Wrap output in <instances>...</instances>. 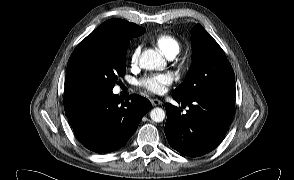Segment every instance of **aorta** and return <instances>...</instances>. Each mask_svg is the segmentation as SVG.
<instances>
[{
	"label": "aorta",
	"mask_w": 294,
	"mask_h": 180,
	"mask_svg": "<svg viewBox=\"0 0 294 180\" xmlns=\"http://www.w3.org/2000/svg\"><path fill=\"white\" fill-rule=\"evenodd\" d=\"M139 63L141 68L146 70H163L166 66L165 59L161 54L153 49L142 52ZM150 118L154 122H162L165 119V112L162 108L156 107L151 110Z\"/></svg>",
	"instance_id": "obj_1"
}]
</instances>
